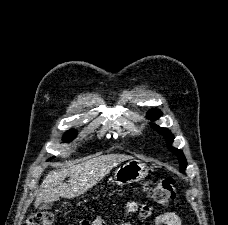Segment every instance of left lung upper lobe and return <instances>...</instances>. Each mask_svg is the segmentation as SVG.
Segmentation results:
<instances>
[{
	"label": "left lung upper lobe",
	"instance_id": "obj_1",
	"mask_svg": "<svg viewBox=\"0 0 228 225\" xmlns=\"http://www.w3.org/2000/svg\"><path fill=\"white\" fill-rule=\"evenodd\" d=\"M160 116H161V112H160V110H157V109H152V110H150L147 113V117L150 120H156ZM151 127L154 130H156L159 134H161V135H163L165 137V139L167 141L168 149L171 150L175 155H177V157H178V159L180 161V171L184 172L185 169H186V166H187V162H186V159H185V156H184L183 152L181 150L173 148L171 146V144L173 142V139H174V136L172 135V133L168 129L159 127L156 124H151Z\"/></svg>",
	"mask_w": 228,
	"mask_h": 225
}]
</instances>
